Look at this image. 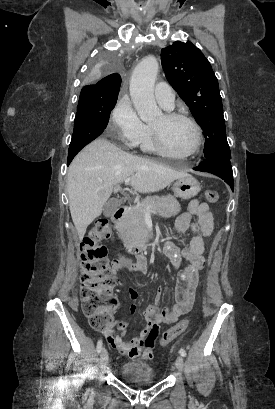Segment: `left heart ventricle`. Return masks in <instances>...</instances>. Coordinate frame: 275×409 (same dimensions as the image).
Wrapping results in <instances>:
<instances>
[{
    "mask_svg": "<svg viewBox=\"0 0 275 409\" xmlns=\"http://www.w3.org/2000/svg\"><path fill=\"white\" fill-rule=\"evenodd\" d=\"M152 126L165 129L167 144L174 152L187 153L194 145V130L186 121L177 120L165 125L163 117L161 116Z\"/></svg>",
    "mask_w": 275,
    "mask_h": 409,
    "instance_id": "1",
    "label": "left heart ventricle"
}]
</instances>
